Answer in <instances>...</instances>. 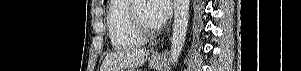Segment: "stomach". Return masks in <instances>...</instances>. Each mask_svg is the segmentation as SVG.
<instances>
[{
    "instance_id": "0dacf381",
    "label": "stomach",
    "mask_w": 301,
    "mask_h": 71,
    "mask_svg": "<svg viewBox=\"0 0 301 71\" xmlns=\"http://www.w3.org/2000/svg\"><path fill=\"white\" fill-rule=\"evenodd\" d=\"M163 66H164V61L163 60L158 59L156 57L150 58V60H149V67L151 69H154L156 71H162ZM127 71H138V70L130 69V70H127Z\"/></svg>"
}]
</instances>
